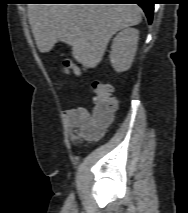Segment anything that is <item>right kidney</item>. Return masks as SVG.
Masks as SVG:
<instances>
[{"mask_svg": "<svg viewBox=\"0 0 188 213\" xmlns=\"http://www.w3.org/2000/svg\"><path fill=\"white\" fill-rule=\"evenodd\" d=\"M139 38V31L135 28H124L113 39L110 62L117 72L127 71L133 62Z\"/></svg>", "mask_w": 188, "mask_h": 213, "instance_id": "right-kidney-1", "label": "right kidney"}]
</instances>
